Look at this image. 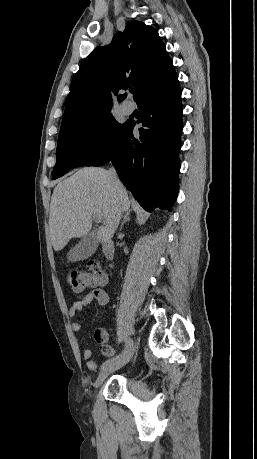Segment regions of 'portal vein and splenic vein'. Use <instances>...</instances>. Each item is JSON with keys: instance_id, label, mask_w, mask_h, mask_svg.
<instances>
[{"instance_id": "obj_1", "label": "portal vein and splenic vein", "mask_w": 257, "mask_h": 459, "mask_svg": "<svg viewBox=\"0 0 257 459\" xmlns=\"http://www.w3.org/2000/svg\"><path fill=\"white\" fill-rule=\"evenodd\" d=\"M94 220L95 222H101L102 221V218L99 216V215H94Z\"/></svg>"}]
</instances>
